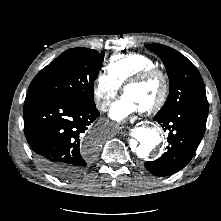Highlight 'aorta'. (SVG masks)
Segmentation results:
<instances>
[{"mask_svg": "<svg viewBox=\"0 0 221 221\" xmlns=\"http://www.w3.org/2000/svg\"><path fill=\"white\" fill-rule=\"evenodd\" d=\"M134 138L139 142L133 150L140 158L148 156L149 152L161 143L160 133L155 128L141 127L134 132Z\"/></svg>", "mask_w": 221, "mask_h": 221, "instance_id": "1", "label": "aorta"}]
</instances>
